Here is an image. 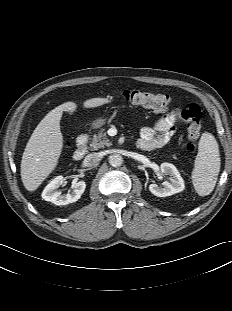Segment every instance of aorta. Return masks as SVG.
Here are the masks:
<instances>
[{
	"label": "aorta",
	"instance_id": "aorta-1",
	"mask_svg": "<svg viewBox=\"0 0 232 311\" xmlns=\"http://www.w3.org/2000/svg\"><path fill=\"white\" fill-rule=\"evenodd\" d=\"M123 163V158L120 154H113L109 156V164L113 167H119Z\"/></svg>",
	"mask_w": 232,
	"mask_h": 311
}]
</instances>
